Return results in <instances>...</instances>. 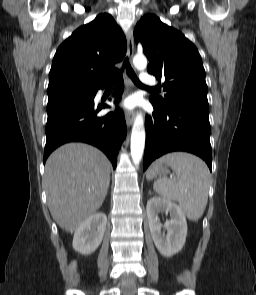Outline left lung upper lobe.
I'll return each mask as SVG.
<instances>
[{
  "instance_id": "left-lung-upper-lobe-1",
  "label": "left lung upper lobe",
  "mask_w": 256,
  "mask_h": 295,
  "mask_svg": "<svg viewBox=\"0 0 256 295\" xmlns=\"http://www.w3.org/2000/svg\"><path fill=\"white\" fill-rule=\"evenodd\" d=\"M134 38L150 61L148 72L158 80L165 79L167 94L150 97L151 103L160 109L183 106L209 112L205 70L191 41L152 14L138 22Z\"/></svg>"
}]
</instances>
